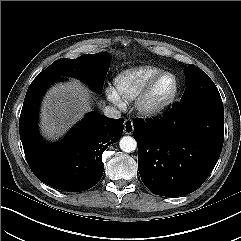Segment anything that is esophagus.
<instances>
[{
  "label": "esophagus",
  "instance_id": "34e87169",
  "mask_svg": "<svg viewBox=\"0 0 241 241\" xmlns=\"http://www.w3.org/2000/svg\"><path fill=\"white\" fill-rule=\"evenodd\" d=\"M134 131V125H133V121L131 119H126L124 122V133L125 134H132Z\"/></svg>",
  "mask_w": 241,
  "mask_h": 241
}]
</instances>
